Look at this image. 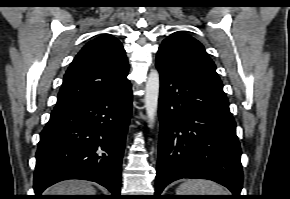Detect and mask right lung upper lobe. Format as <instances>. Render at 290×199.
I'll return each instance as SVG.
<instances>
[{
  "mask_svg": "<svg viewBox=\"0 0 290 199\" xmlns=\"http://www.w3.org/2000/svg\"><path fill=\"white\" fill-rule=\"evenodd\" d=\"M128 61L118 39L104 34L88 42L64 75L56 107L117 91L129 83Z\"/></svg>",
  "mask_w": 290,
  "mask_h": 199,
  "instance_id": "right-lung-upper-lobe-1",
  "label": "right lung upper lobe"
}]
</instances>
